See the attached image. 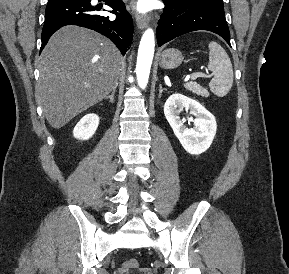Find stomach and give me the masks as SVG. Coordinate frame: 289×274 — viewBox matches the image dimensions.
Returning <instances> with one entry per match:
<instances>
[{
  "instance_id": "1",
  "label": "stomach",
  "mask_w": 289,
  "mask_h": 274,
  "mask_svg": "<svg viewBox=\"0 0 289 274\" xmlns=\"http://www.w3.org/2000/svg\"><path fill=\"white\" fill-rule=\"evenodd\" d=\"M182 53L174 48L164 50L159 57V64L164 69H174L183 62Z\"/></svg>"
}]
</instances>
